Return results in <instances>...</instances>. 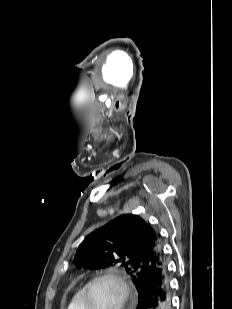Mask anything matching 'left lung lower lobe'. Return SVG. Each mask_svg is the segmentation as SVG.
<instances>
[{
	"mask_svg": "<svg viewBox=\"0 0 232 309\" xmlns=\"http://www.w3.org/2000/svg\"><path fill=\"white\" fill-rule=\"evenodd\" d=\"M170 278L165 261L149 273L138 297L136 309H171Z\"/></svg>",
	"mask_w": 232,
	"mask_h": 309,
	"instance_id": "left-lung-lower-lobe-1",
	"label": "left lung lower lobe"
}]
</instances>
